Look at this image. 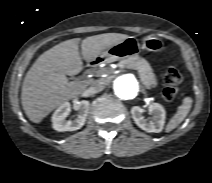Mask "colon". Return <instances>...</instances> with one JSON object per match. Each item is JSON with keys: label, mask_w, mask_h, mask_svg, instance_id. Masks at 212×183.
I'll return each mask as SVG.
<instances>
[{"label": "colon", "mask_w": 212, "mask_h": 183, "mask_svg": "<svg viewBox=\"0 0 212 183\" xmlns=\"http://www.w3.org/2000/svg\"><path fill=\"white\" fill-rule=\"evenodd\" d=\"M165 87L162 91L163 98L173 100L177 95V86L182 81L181 73L174 67L167 69L164 75Z\"/></svg>", "instance_id": "obj_1"}]
</instances>
